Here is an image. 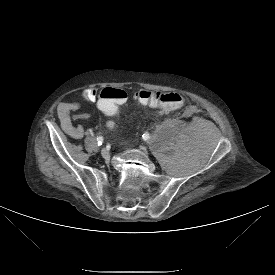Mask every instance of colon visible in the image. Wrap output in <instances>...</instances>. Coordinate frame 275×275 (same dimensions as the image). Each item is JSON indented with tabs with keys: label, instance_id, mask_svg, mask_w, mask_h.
I'll list each match as a JSON object with an SVG mask.
<instances>
[{
	"label": "colon",
	"instance_id": "5ec220e1",
	"mask_svg": "<svg viewBox=\"0 0 275 275\" xmlns=\"http://www.w3.org/2000/svg\"><path fill=\"white\" fill-rule=\"evenodd\" d=\"M128 94L123 89L105 88L97 101V108L100 114L111 117L117 113L118 104L126 101ZM138 103L154 108H160L163 112H171L180 108L185 98L174 92H154L139 90L135 93Z\"/></svg>",
	"mask_w": 275,
	"mask_h": 275
}]
</instances>
